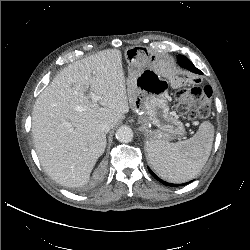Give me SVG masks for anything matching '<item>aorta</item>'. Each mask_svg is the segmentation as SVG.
Returning <instances> with one entry per match:
<instances>
[{"label":"aorta","mask_w":250,"mask_h":250,"mask_svg":"<svg viewBox=\"0 0 250 250\" xmlns=\"http://www.w3.org/2000/svg\"><path fill=\"white\" fill-rule=\"evenodd\" d=\"M116 138L119 142L129 143L133 140V131L129 126H121L116 132Z\"/></svg>","instance_id":"obj_1"}]
</instances>
